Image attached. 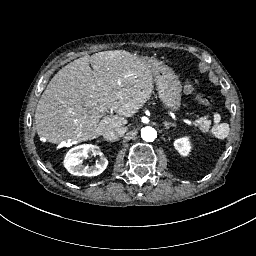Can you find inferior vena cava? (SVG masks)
I'll return each mask as SVG.
<instances>
[{
    "mask_svg": "<svg viewBox=\"0 0 256 256\" xmlns=\"http://www.w3.org/2000/svg\"><path fill=\"white\" fill-rule=\"evenodd\" d=\"M124 131L121 128H114L105 131L102 136L105 140L116 141L123 135Z\"/></svg>",
    "mask_w": 256,
    "mask_h": 256,
    "instance_id": "602c4592",
    "label": "inferior vena cava"
}]
</instances>
